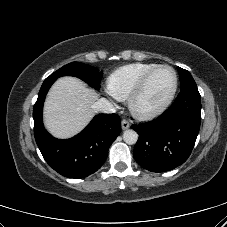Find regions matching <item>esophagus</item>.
Returning a JSON list of instances; mask_svg holds the SVG:
<instances>
[{
	"label": "esophagus",
	"instance_id": "esophagus-1",
	"mask_svg": "<svg viewBox=\"0 0 227 227\" xmlns=\"http://www.w3.org/2000/svg\"><path fill=\"white\" fill-rule=\"evenodd\" d=\"M121 126H122V129L123 130H126V129H128L130 127V123H129V121H127V120L124 119L121 122Z\"/></svg>",
	"mask_w": 227,
	"mask_h": 227
}]
</instances>
